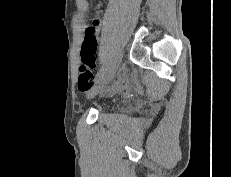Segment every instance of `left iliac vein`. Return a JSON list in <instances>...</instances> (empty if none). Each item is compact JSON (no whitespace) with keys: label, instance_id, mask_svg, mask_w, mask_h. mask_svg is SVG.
Returning a JSON list of instances; mask_svg holds the SVG:
<instances>
[{"label":"left iliac vein","instance_id":"obj_1","mask_svg":"<svg viewBox=\"0 0 231 177\" xmlns=\"http://www.w3.org/2000/svg\"><path fill=\"white\" fill-rule=\"evenodd\" d=\"M122 60V52L119 51L114 59L110 67L108 68V71H105L103 75L98 79L97 86L88 94V98L94 97L100 89H102L104 86H106L110 80L114 77L120 63Z\"/></svg>","mask_w":231,"mask_h":177}]
</instances>
